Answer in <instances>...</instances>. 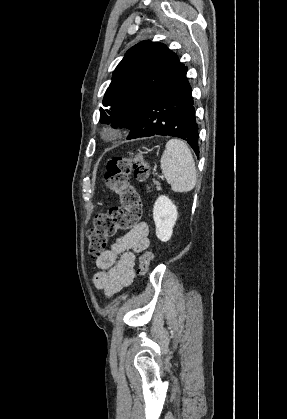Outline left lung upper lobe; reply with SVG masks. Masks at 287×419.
<instances>
[{"instance_id": "left-lung-upper-lobe-1", "label": "left lung upper lobe", "mask_w": 287, "mask_h": 419, "mask_svg": "<svg viewBox=\"0 0 287 419\" xmlns=\"http://www.w3.org/2000/svg\"><path fill=\"white\" fill-rule=\"evenodd\" d=\"M164 44L142 41L128 50L113 73L100 122L131 129L142 106L186 69Z\"/></svg>"}]
</instances>
